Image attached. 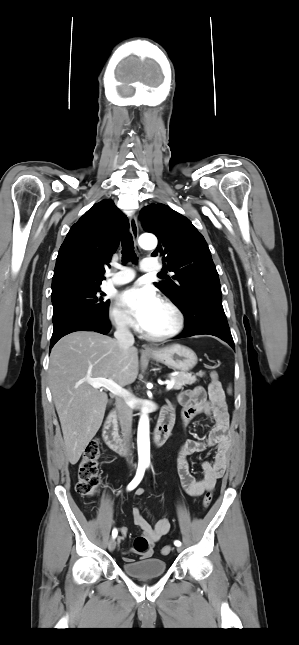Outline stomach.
Here are the masks:
<instances>
[{"instance_id":"0dacf381","label":"stomach","mask_w":299,"mask_h":645,"mask_svg":"<svg viewBox=\"0 0 299 645\" xmlns=\"http://www.w3.org/2000/svg\"><path fill=\"white\" fill-rule=\"evenodd\" d=\"M148 357L183 373L194 368L198 360L193 350L180 344L156 350L149 354Z\"/></svg>"}]
</instances>
